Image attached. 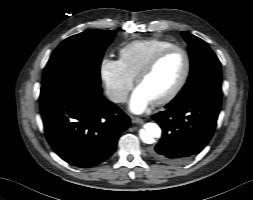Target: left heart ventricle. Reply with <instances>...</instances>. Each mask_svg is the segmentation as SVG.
<instances>
[{
	"label": "left heart ventricle",
	"instance_id": "b2bd125f",
	"mask_svg": "<svg viewBox=\"0 0 253 200\" xmlns=\"http://www.w3.org/2000/svg\"><path fill=\"white\" fill-rule=\"evenodd\" d=\"M185 58L180 52L166 56L158 66L139 84L152 102L168 95L181 80L185 71Z\"/></svg>",
	"mask_w": 253,
	"mask_h": 200
}]
</instances>
